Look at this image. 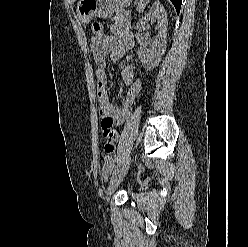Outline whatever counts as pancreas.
Segmentation results:
<instances>
[{
    "label": "pancreas",
    "instance_id": "pancreas-1",
    "mask_svg": "<svg viewBox=\"0 0 248 247\" xmlns=\"http://www.w3.org/2000/svg\"><path fill=\"white\" fill-rule=\"evenodd\" d=\"M114 21L116 26L125 29L129 28L131 25V18L129 16V13H124L122 16L115 17Z\"/></svg>",
    "mask_w": 248,
    "mask_h": 247
}]
</instances>
